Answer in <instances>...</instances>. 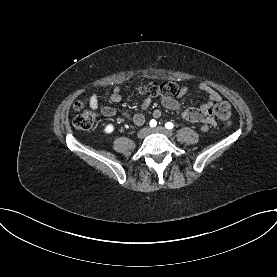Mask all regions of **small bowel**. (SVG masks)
I'll use <instances>...</instances> for the list:
<instances>
[{"label": "small bowel", "instance_id": "c3829d8e", "mask_svg": "<svg viewBox=\"0 0 277 277\" xmlns=\"http://www.w3.org/2000/svg\"><path fill=\"white\" fill-rule=\"evenodd\" d=\"M199 89L204 91L207 96L208 100L199 108H184L182 107L179 99L185 95L188 91L187 86L181 87L179 90V94L174 98H161V104L170 110L177 111L180 113L181 117L190 122H198L201 123V129L207 130L210 125L214 123L213 117V106L215 103L220 102L222 100L221 95L218 91H216L213 87H211L207 83H200ZM105 95L109 97V99L113 103H119L122 99L121 95V87L117 86L113 90L105 91ZM151 104V99L149 97L145 98L141 108L146 110ZM89 105L93 110L100 109L102 115L106 117H114L118 114L129 120L132 124L136 126H140L145 122V116L142 112H137L134 114H129L125 111H119L114 107L111 106H101L98 100L97 92L93 93L89 100ZM154 118H159L161 116V111L159 109H155L152 113Z\"/></svg>", "mask_w": 277, "mask_h": 277}]
</instances>
